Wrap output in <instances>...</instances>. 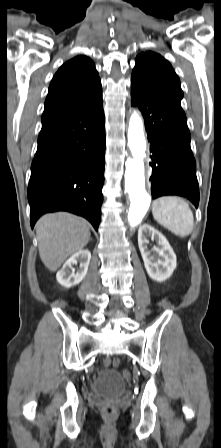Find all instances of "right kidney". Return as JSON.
I'll use <instances>...</instances> for the list:
<instances>
[{
  "label": "right kidney",
  "mask_w": 221,
  "mask_h": 448,
  "mask_svg": "<svg viewBox=\"0 0 221 448\" xmlns=\"http://www.w3.org/2000/svg\"><path fill=\"white\" fill-rule=\"evenodd\" d=\"M91 259V253L88 249L80 250L73 254L63 265L62 269L57 272L56 279L59 284L70 288L79 284L86 276L88 266ZM80 262L79 269L75 272L72 267Z\"/></svg>",
  "instance_id": "obj_1"
}]
</instances>
